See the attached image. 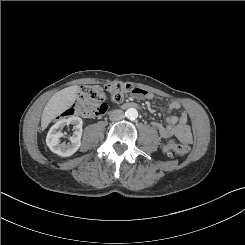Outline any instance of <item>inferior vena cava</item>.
I'll return each instance as SVG.
<instances>
[{
  "label": "inferior vena cava",
  "mask_w": 245,
  "mask_h": 245,
  "mask_svg": "<svg viewBox=\"0 0 245 245\" xmlns=\"http://www.w3.org/2000/svg\"><path fill=\"white\" fill-rule=\"evenodd\" d=\"M124 118V113L122 110H113L110 112L109 119L111 121H118Z\"/></svg>",
  "instance_id": "1"
}]
</instances>
